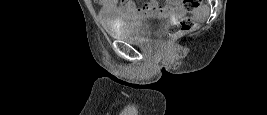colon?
<instances>
[{
    "mask_svg": "<svg viewBox=\"0 0 267 115\" xmlns=\"http://www.w3.org/2000/svg\"><path fill=\"white\" fill-rule=\"evenodd\" d=\"M201 1L199 0H185V4L193 9H197L200 6ZM195 20L191 17H185L181 19L178 23L171 25L166 28L164 33L161 36L163 41H173L178 37L192 31L195 28Z\"/></svg>",
    "mask_w": 267,
    "mask_h": 115,
    "instance_id": "1",
    "label": "colon"
}]
</instances>
